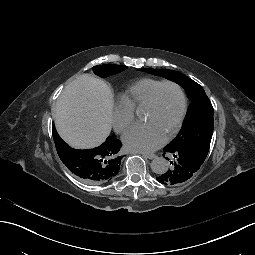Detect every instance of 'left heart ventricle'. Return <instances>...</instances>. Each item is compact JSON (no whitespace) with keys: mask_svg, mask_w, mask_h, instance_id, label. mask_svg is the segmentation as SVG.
I'll list each match as a JSON object with an SVG mask.
<instances>
[{"mask_svg":"<svg viewBox=\"0 0 255 255\" xmlns=\"http://www.w3.org/2000/svg\"><path fill=\"white\" fill-rule=\"evenodd\" d=\"M180 107L178 90L167 85L159 91L154 106L143 110L141 120L166 138L176 125Z\"/></svg>","mask_w":255,"mask_h":255,"instance_id":"1","label":"left heart ventricle"}]
</instances>
